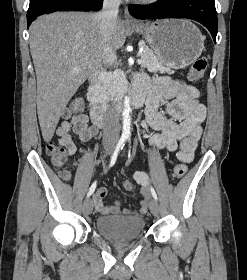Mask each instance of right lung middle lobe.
<instances>
[{"label": "right lung middle lobe", "mask_w": 247, "mask_h": 280, "mask_svg": "<svg viewBox=\"0 0 247 280\" xmlns=\"http://www.w3.org/2000/svg\"><path fill=\"white\" fill-rule=\"evenodd\" d=\"M35 0H30V3L34 2Z\"/></svg>", "instance_id": "1"}]
</instances>
